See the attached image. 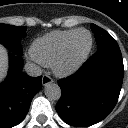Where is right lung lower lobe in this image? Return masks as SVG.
Instances as JSON below:
<instances>
[{
  "mask_svg": "<svg viewBox=\"0 0 128 128\" xmlns=\"http://www.w3.org/2000/svg\"><path fill=\"white\" fill-rule=\"evenodd\" d=\"M10 70L0 85V128L18 125L26 116L34 95L42 88L41 77L22 72L23 59L10 54Z\"/></svg>",
  "mask_w": 128,
  "mask_h": 128,
  "instance_id": "obj_1",
  "label": "right lung lower lobe"
}]
</instances>
